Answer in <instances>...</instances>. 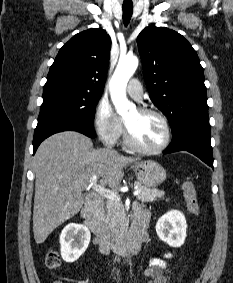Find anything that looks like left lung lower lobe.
Returning a JSON list of instances; mask_svg holds the SVG:
<instances>
[{
    "instance_id": "1",
    "label": "left lung lower lobe",
    "mask_w": 233,
    "mask_h": 283,
    "mask_svg": "<svg viewBox=\"0 0 233 283\" xmlns=\"http://www.w3.org/2000/svg\"><path fill=\"white\" fill-rule=\"evenodd\" d=\"M176 151H188L213 167L209 122H192L173 134L170 145L163 153Z\"/></svg>"
}]
</instances>
